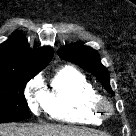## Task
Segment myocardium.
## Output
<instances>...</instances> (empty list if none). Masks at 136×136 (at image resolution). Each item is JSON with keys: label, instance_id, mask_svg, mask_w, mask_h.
<instances>
[{"label": "myocardium", "instance_id": "obj_1", "mask_svg": "<svg viewBox=\"0 0 136 136\" xmlns=\"http://www.w3.org/2000/svg\"><path fill=\"white\" fill-rule=\"evenodd\" d=\"M93 108L101 118L109 117L114 111L112 102L101 95H99L93 102Z\"/></svg>", "mask_w": 136, "mask_h": 136}]
</instances>
